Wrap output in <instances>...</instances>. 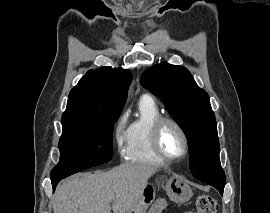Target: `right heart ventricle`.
<instances>
[{
  "label": "right heart ventricle",
  "instance_id": "1",
  "mask_svg": "<svg viewBox=\"0 0 270 213\" xmlns=\"http://www.w3.org/2000/svg\"><path fill=\"white\" fill-rule=\"evenodd\" d=\"M161 116L157 104L151 97L143 96L140 98L137 115L126 128V143L123 155L128 162H163L153 151L150 141L152 126Z\"/></svg>",
  "mask_w": 270,
  "mask_h": 213
}]
</instances>
